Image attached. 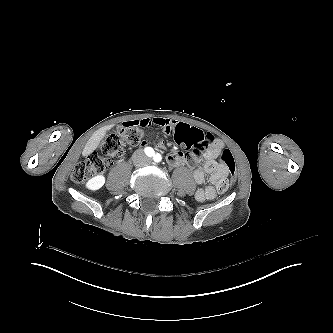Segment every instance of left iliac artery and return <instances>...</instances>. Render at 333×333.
I'll use <instances>...</instances> for the list:
<instances>
[{
    "mask_svg": "<svg viewBox=\"0 0 333 333\" xmlns=\"http://www.w3.org/2000/svg\"><path fill=\"white\" fill-rule=\"evenodd\" d=\"M161 159H162V157H161V155L159 153H157V154L154 155V161L155 162H160Z\"/></svg>",
    "mask_w": 333,
    "mask_h": 333,
    "instance_id": "obj_1",
    "label": "left iliac artery"
}]
</instances>
